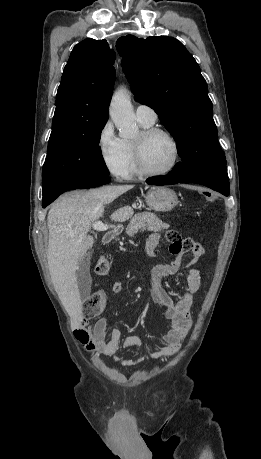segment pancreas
Listing matches in <instances>:
<instances>
[{
	"label": "pancreas",
	"mask_w": 261,
	"mask_h": 459,
	"mask_svg": "<svg viewBox=\"0 0 261 459\" xmlns=\"http://www.w3.org/2000/svg\"><path fill=\"white\" fill-rule=\"evenodd\" d=\"M169 226L162 222L152 212H142L136 214L129 222L126 233L128 236L133 237L139 230H149L153 232H161L163 229H167Z\"/></svg>",
	"instance_id": "1"
}]
</instances>
